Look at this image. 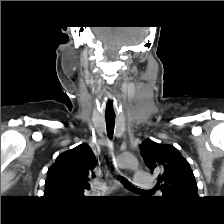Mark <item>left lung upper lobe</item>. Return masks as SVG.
I'll list each match as a JSON object with an SVG mask.
<instances>
[{"mask_svg": "<svg viewBox=\"0 0 224 224\" xmlns=\"http://www.w3.org/2000/svg\"><path fill=\"white\" fill-rule=\"evenodd\" d=\"M141 156L152 171H158V182L164 198H197V183L187 160L168 144L150 139L140 145Z\"/></svg>", "mask_w": 224, "mask_h": 224, "instance_id": "1", "label": "left lung upper lobe"}]
</instances>
